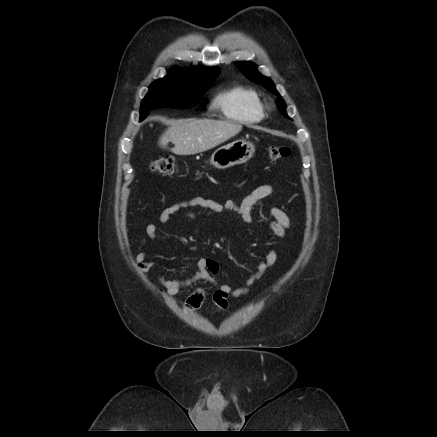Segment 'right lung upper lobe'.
I'll return each instance as SVG.
<instances>
[{
    "label": "right lung upper lobe",
    "instance_id": "cb5924a9",
    "mask_svg": "<svg viewBox=\"0 0 437 437\" xmlns=\"http://www.w3.org/2000/svg\"><path fill=\"white\" fill-rule=\"evenodd\" d=\"M220 73L219 68H192L189 70L176 69L169 72L166 78L180 80L186 83L198 84L212 81Z\"/></svg>",
    "mask_w": 437,
    "mask_h": 437
}]
</instances>
